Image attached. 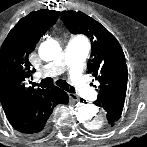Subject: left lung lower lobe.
Segmentation results:
<instances>
[{"label": "left lung lower lobe", "instance_id": "obj_1", "mask_svg": "<svg viewBox=\"0 0 147 147\" xmlns=\"http://www.w3.org/2000/svg\"><path fill=\"white\" fill-rule=\"evenodd\" d=\"M125 97L115 96L108 99L97 101V106L105 109L107 112V127L113 126L120 118L124 106Z\"/></svg>", "mask_w": 147, "mask_h": 147}]
</instances>
